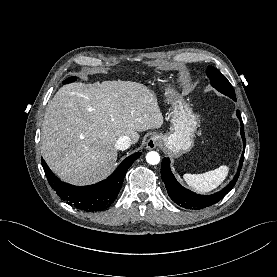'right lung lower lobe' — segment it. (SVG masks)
I'll return each instance as SVG.
<instances>
[{"label":"right lung lower lobe","instance_id":"right-lung-lower-lobe-1","mask_svg":"<svg viewBox=\"0 0 277 277\" xmlns=\"http://www.w3.org/2000/svg\"><path fill=\"white\" fill-rule=\"evenodd\" d=\"M140 152L127 157L105 180L89 185L74 186L59 180L42 159V166L50 186L71 206L86 212L101 211L108 208L116 199L124 176Z\"/></svg>","mask_w":277,"mask_h":277}]
</instances>
